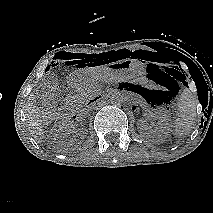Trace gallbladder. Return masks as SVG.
Wrapping results in <instances>:
<instances>
[{
    "mask_svg": "<svg viewBox=\"0 0 213 213\" xmlns=\"http://www.w3.org/2000/svg\"><path fill=\"white\" fill-rule=\"evenodd\" d=\"M43 86L39 87V91L41 94H46L48 92H53L55 96H58L60 94V89H59V81L57 77L53 74H50L46 76L42 80Z\"/></svg>",
    "mask_w": 213,
    "mask_h": 213,
    "instance_id": "1",
    "label": "gallbladder"
}]
</instances>
